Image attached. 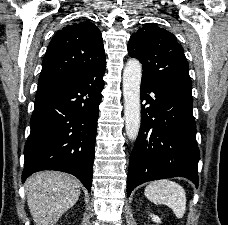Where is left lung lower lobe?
Returning a JSON list of instances; mask_svg holds the SVG:
<instances>
[{"instance_id": "0a47b994", "label": "left lung lower lobe", "mask_w": 228, "mask_h": 225, "mask_svg": "<svg viewBox=\"0 0 228 225\" xmlns=\"http://www.w3.org/2000/svg\"><path fill=\"white\" fill-rule=\"evenodd\" d=\"M141 127L130 155L127 195L138 185L185 177L198 187L199 149L192 95L141 80ZM147 105V107H145Z\"/></svg>"}]
</instances>
